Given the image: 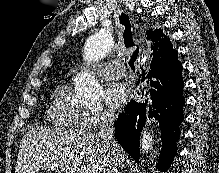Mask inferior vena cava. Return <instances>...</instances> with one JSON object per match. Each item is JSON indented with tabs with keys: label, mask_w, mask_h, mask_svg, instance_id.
Listing matches in <instances>:
<instances>
[{
	"label": "inferior vena cava",
	"mask_w": 219,
	"mask_h": 173,
	"mask_svg": "<svg viewBox=\"0 0 219 173\" xmlns=\"http://www.w3.org/2000/svg\"><path fill=\"white\" fill-rule=\"evenodd\" d=\"M114 112L111 109L104 110L102 114L101 123L99 126L98 136L107 145L109 150L108 173H119L118 172V156H119V145L117 144L114 137Z\"/></svg>",
	"instance_id": "1"
}]
</instances>
